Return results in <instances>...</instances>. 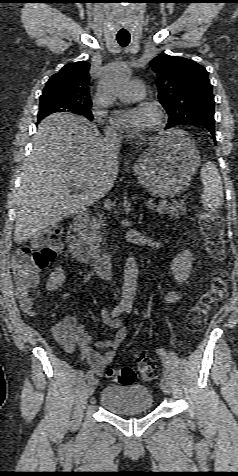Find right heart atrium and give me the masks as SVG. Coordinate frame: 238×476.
<instances>
[{"instance_id": "right-heart-atrium-1", "label": "right heart atrium", "mask_w": 238, "mask_h": 476, "mask_svg": "<svg viewBox=\"0 0 238 476\" xmlns=\"http://www.w3.org/2000/svg\"><path fill=\"white\" fill-rule=\"evenodd\" d=\"M94 115H95L96 120L99 123L104 125L105 131H106L108 136L114 137V136L117 135L115 130L111 126L105 124L104 114L101 111H95Z\"/></svg>"}]
</instances>
